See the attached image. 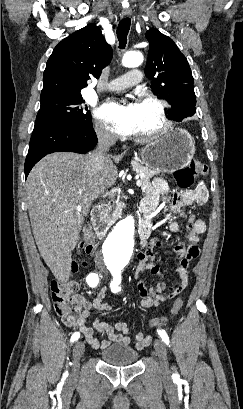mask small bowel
Listing matches in <instances>:
<instances>
[{"mask_svg": "<svg viewBox=\"0 0 243 409\" xmlns=\"http://www.w3.org/2000/svg\"><path fill=\"white\" fill-rule=\"evenodd\" d=\"M145 192L146 197L142 203L143 209L152 213L160 208L164 211L182 214L189 219L186 235L189 244L179 243L174 247V252L180 259L175 269L181 279L178 284L168 285L164 281H157L147 286L146 281L139 277L141 273L163 276L159 267L154 264L153 249L160 246V241L150 238L142 242L145 251L140 253L138 257L139 261L136 268L137 288L141 297V307L149 308L157 307L161 303L171 300L188 285V265L199 256L200 249L197 243L200 241V236L206 231V223L202 219L191 215L186 209L204 203L208 196V190L203 182H199L193 189L168 195L170 192L168 185L162 180H156L152 185L145 187ZM169 229L171 232L177 233L180 226L176 221H173L170 223ZM165 290H167L166 293H164ZM106 296V288H102L92 301L82 295L74 296L76 304L82 309L75 324L85 336L88 344L96 350L105 349L113 343L129 344L132 341L128 335L130 329L126 322L119 321L111 326L106 322L95 319L92 326L87 324L92 312L108 313L112 310V306L105 301ZM95 333L105 335V339H98ZM135 341L136 349L141 350L150 344L151 337L138 333L135 336Z\"/></svg>", "mask_w": 243, "mask_h": 409, "instance_id": "obj_1", "label": "small bowel"}]
</instances>
